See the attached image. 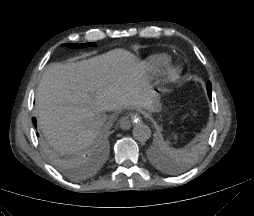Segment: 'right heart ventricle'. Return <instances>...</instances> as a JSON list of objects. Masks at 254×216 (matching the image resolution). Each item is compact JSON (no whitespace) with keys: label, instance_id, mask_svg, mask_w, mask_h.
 I'll return each instance as SVG.
<instances>
[{"label":"right heart ventricle","instance_id":"right-heart-ventricle-1","mask_svg":"<svg viewBox=\"0 0 254 216\" xmlns=\"http://www.w3.org/2000/svg\"><path fill=\"white\" fill-rule=\"evenodd\" d=\"M170 57L167 54H155L145 61V69L149 76H157L169 64Z\"/></svg>","mask_w":254,"mask_h":216}]
</instances>
